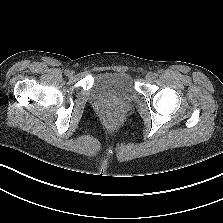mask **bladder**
<instances>
[{
	"label": "bladder",
	"instance_id": "31cf9c89",
	"mask_svg": "<svg viewBox=\"0 0 223 223\" xmlns=\"http://www.w3.org/2000/svg\"><path fill=\"white\" fill-rule=\"evenodd\" d=\"M90 96L97 100L129 103L135 101L137 92L129 74L103 72L93 78Z\"/></svg>",
	"mask_w": 223,
	"mask_h": 223
}]
</instances>
